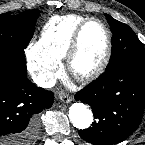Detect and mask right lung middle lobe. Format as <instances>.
I'll list each match as a JSON object with an SVG mask.
<instances>
[{"instance_id": "1", "label": "right lung middle lobe", "mask_w": 145, "mask_h": 145, "mask_svg": "<svg viewBox=\"0 0 145 145\" xmlns=\"http://www.w3.org/2000/svg\"><path fill=\"white\" fill-rule=\"evenodd\" d=\"M39 10H29L18 15L10 12L0 15V50L25 49L34 33Z\"/></svg>"}]
</instances>
